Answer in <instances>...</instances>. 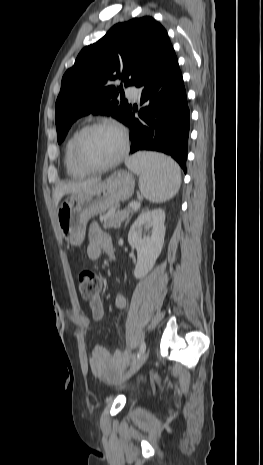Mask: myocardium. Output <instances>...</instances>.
<instances>
[{"instance_id": "f54148a6", "label": "myocardium", "mask_w": 263, "mask_h": 465, "mask_svg": "<svg viewBox=\"0 0 263 465\" xmlns=\"http://www.w3.org/2000/svg\"><path fill=\"white\" fill-rule=\"evenodd\" d=\"M102 127H107L116 130L122 140V147L119 152V154L110 162L103 164V165H91L87 163L84 158L82 157V143L84 140V137L88 132L91 130L97 129V128H102ZM129 150V136L126 131V129L120 125L117 122L111 121V120H97L94 122H91L84 127H82L74 140L73 144V156L76 164L84 171L88 173H98V172H103L107 171L109 169H112L113 167L117 166L120 164L125 156L127 155Z\"/></svg>"}]
</instances>
